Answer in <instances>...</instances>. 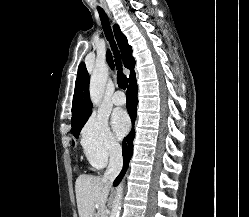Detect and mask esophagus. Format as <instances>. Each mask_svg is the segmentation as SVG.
Instances as JSON below:
<instances>
[{
	"label": "esophagus",
	"mask_w": 249,
	"mask_h": 217,
	"mask_svg": "<svg viewBox=\"0 0 249 217\" xmlns=\"http://www.w3.org/2000/svg\"><path fill=\"white\" fill-rule=\"evenodd\" d=\"M106 12H107L108 16L111 18V14H110V12L108 11V9H106Z\"/></svg>",
	"instance_id": "34e87169"
}]
</instances>
